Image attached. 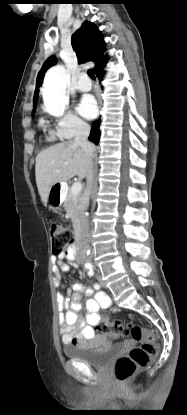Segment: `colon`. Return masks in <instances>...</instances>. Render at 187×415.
<instances>
[{
  "instance_id": "obj_1",
  "label": "colon",
  "mask_w": 187,
  "mask_h": 415,
  "mask_svg": "<svg viewBox=\"0 0 187 415\" xmlns=\"http://www.w3.org/2000/svg\"><path fill=\"white\" fill-rule=\"evenodd\" d=\"M50 236L54 255L64 254L73 246V232L59 222L50 225ZM95 330L101 334L112 336H129L134 341L141 343L127 355L116 360L114 372L116 379L121 383L128 381L138 369L147 366L159 352V344L155 340L153 331L140 325L137 321H132L126 326L122 321L114 318L100 320L96 324Z\"/></svg>"
}]
</instances>
